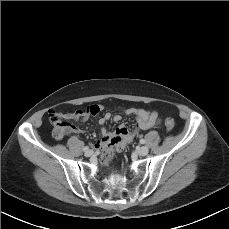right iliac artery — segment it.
<instances>
[{
  "label": "right iliac artery",
  "instance_id": "82829eb1",
  "mask_svg": "<svg viewBox=\"0 0 229 229\" xmlns=\"http://www.w3.org/2000/svg\"><path fill=\"white\" fill-rule=\"evenodd\" d=\"M87 150H89V146H85V147L83 148V151H84V152H86Z\"/></svg>",
  "mask_w": 229,
  "mask_h": 229
}]
</instances>
